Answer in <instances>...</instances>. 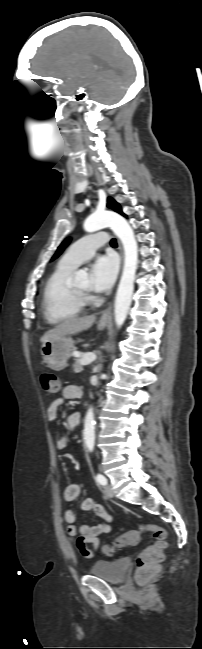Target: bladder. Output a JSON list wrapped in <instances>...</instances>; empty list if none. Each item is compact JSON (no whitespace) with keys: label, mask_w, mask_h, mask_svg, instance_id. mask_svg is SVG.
Listing matches in <instances>:
<instances>
[{"label":"bladder","mask_w":202,"mask_h":649,"mask_svg":"<svg viewBox=\"0 0 202 649\" xmlns=\"http://www.w3.org/2000/svg\"><path fill=\"white\" fill-rule=\"evenodd\" d=\"M129 566L130 562L127 558H119L113 561H97L91 566L89 574L110 583H119L127 575Z\"/></svg>","instance_id":"1"}]
</instances>
